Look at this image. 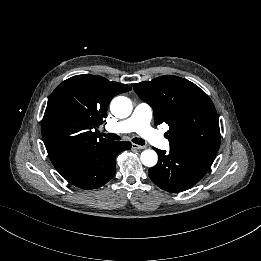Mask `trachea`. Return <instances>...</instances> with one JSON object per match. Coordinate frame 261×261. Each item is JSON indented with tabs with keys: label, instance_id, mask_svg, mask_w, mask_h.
<instances>
[{
	"label": "trachea",
	"instance_id": "obj_1",
	"mask_svg": "<svg viewBox=\"0 0 261 261\" xmlns=\"http://www.w3.org/2000/svg\"><path fill=\"white\" fill-rule=\"evenodd\" d=\"M102 135L106 138L113 139V140H120L121 139V137L117 134L102 133ZM132 142H134L135 144H138V145H144L145 144V141L142 138H137V137L133 138Z\"/></svg>",
	"mask_w": 261,
	"mask_h": 261
}]
</instances>
